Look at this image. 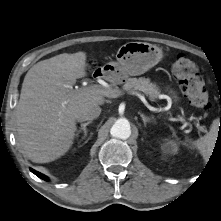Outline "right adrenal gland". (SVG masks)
I'll return each mask as SVG.
<instances>
[{
  "label": "right adrenal gland",
  "instance_id": "right-adrenal-gland-1",
  "mask_svg": "<svg viewBox=\"0 0 221 221\" xmlns=\"http://www.w3.org/2000/svg\"><path fill=\"white\" fill-rule=\"evenodd\" d=\"M91 123H92V121H88V122H86V123L81 124V127H80V129L77 131L76 136L78 137L79 133L83 132V133H84V136L82 137V139H84V138L87 136V128H86V127H87L89 124H91Z\"/></svg>",
  "mask_w": 221,
  "mask_h": 221
}]
</instances>
